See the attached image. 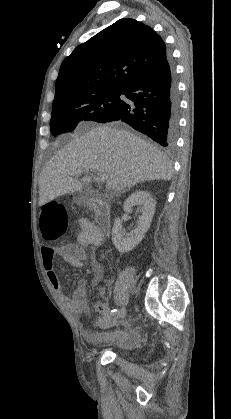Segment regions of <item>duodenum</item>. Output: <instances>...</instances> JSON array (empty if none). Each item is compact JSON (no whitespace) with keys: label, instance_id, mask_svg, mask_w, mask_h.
<instances>
[{"label":"duodenum","instance_id":"410a0bca","mask_svg":"<svg viewBox=\"0 0 231 419\" xmlns=\"http://www.w3.org/2000/svg\"><path fill=\"white\" fill-rule=\"evenodd\" d=\"M91 204L95 213L97 227L102 235H106L111 227V215L109 206L100 199H93Z\"/></svg>","mask_w":231,"mask_h":419}]
</instances>
